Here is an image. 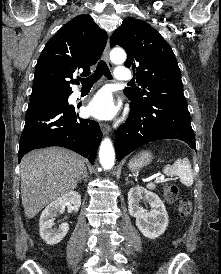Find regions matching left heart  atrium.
I'll use <instances>...</instances> for the list:
<instances>
[{"instance_id":"obj_1","label":"left heart atrium","mask_w":221,"mask_h":274,"mask_svg":"<svg viewBox=\"0 0 221 274\" xmlns=\"http://www.w3.org/2000/svg\"><path fill=\"white\" fill-rule=\"evenodd\" d=\"M118 107L112 95L107 91H101L94 96L87 107V113L97 119H111L117 113Z\"/></svg>"}]
</instances>
